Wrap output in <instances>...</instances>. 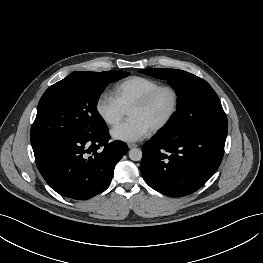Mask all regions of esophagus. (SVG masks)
Returning a JSON list of instances; mask_svg holds the SVG:
<instances>
[{
  "label": "esophagus",
  "instance_id": "1",
  "mask_svg": "<svg viewBox=\"0 0 263 263\" xmlns=\"http://www.w3.org/2000/svg\"><path fill=\"white\" fill-rule=\"evenodd\" d=\"M137 146H138V145L135 144V143H128V147H129L130 149L135 148V147H137Z\"/></svg>",
  "mask_w": 263,
  "mask_h": 263
}]
</instances>
